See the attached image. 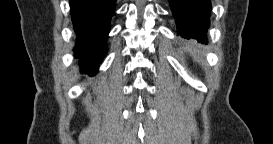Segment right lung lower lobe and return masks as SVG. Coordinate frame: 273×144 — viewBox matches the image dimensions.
I'll return each instance as SVG.
<instances>
[{"label": "right lung lower lobe", "mask_w": 273, "mask_h": 144, "mask_svg": "<svg viewBox=\"0 0 273 144\" xmlns=\"http://www.w3.org/2000/svg\"><path fill=\"white\" fill-rule=\"evenodd\" d=\"M116 0H70L71 17L77 35L75 58L89 75L98 71L107 52L106 40Z\"/></svg>", "instance_id": "obj_1"}]
</instances>
